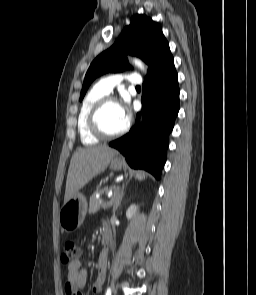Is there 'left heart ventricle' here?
Listing matches in <instances>:
<instances>
[{
  "label": "left heart ventricle",
  "instance_id": "b2bd125f",
  "mask_svg": "<svg viewBox=\"0 0 256 295\" xmlns=\"http://www.w3.org/2000/svg\"><path fill=\"white\" fill-rule=\"evenodd\" d=\"M102 128L108 133L121 130L126 124V119L120 114L117 103H108L99 117Z\"/></svg>",
  "mask_w": 256,
  "mask_h": 295
}]
</instances>
